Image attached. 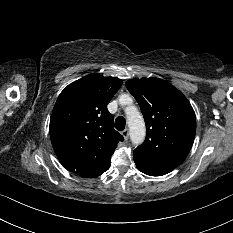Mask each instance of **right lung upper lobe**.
I'll return each mask as SVG.
<instances>
[{
    "label": "right lung upper lobe",
    "mask_w": 233,
    "mask_h": 233,
    "mask_svg": "<svg viewBox=\"0 0 233 233\" xmlns=\"http://www.w3.org/2000/svg\"><path fill=\"white\" fill-rule=\"evenodd\" d=\"M121 85V79L90 74L59 95L51 115L50 138L67 170L93 178L110 168L117 143L124 138L114 130L107 104Z\"/></svg>",
    "instance_id": "right-lung-upper-lobe-1"
}]
</instances>
